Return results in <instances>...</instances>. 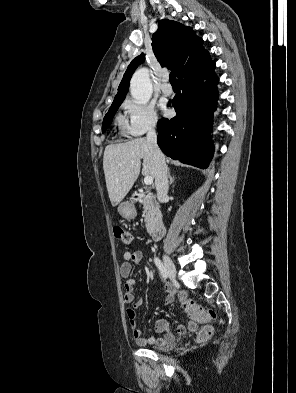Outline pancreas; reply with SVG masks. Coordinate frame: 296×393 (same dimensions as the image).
Here are the masks:
<instances>
[{"label":"pancreas","instance_id":"cf45deb5","mask_svg":"<svg viewBox=\"0 0 296 393\" xmlns=\"http://www.w3.org/2000/svg\"><path fill=\"white\" fill-rule=\"evenodd\" d=\"M140 203L143 205V210L145 214V223L148 232H151L157 218L160 214L159 208L156 202L149 196H144Z\"/></svg>","mask_w":296,"mask_h":393}]
</instances>
